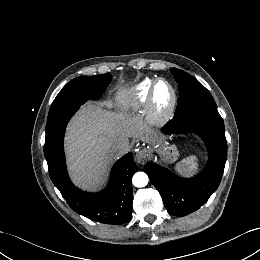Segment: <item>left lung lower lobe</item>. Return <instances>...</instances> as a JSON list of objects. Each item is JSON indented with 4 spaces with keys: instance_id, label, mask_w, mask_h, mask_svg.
I'll return each instance as SVG.
<instances>
[{
    "instance_id": "1",
    "label": "left lung lower lobe",
    "mask_w": 260,
    "mask_h": 260,
    "mask_svg": "<svg viewBox=\"0 0 260 260\" xmlns=\"http://www.w3.org/2000/svg\"><path fill=\"white\" fill-rule=\"evenodd\" d=\"M164 133H198L207 145L209 160L197 176L183 179L166 168L147 163L144 171L160 192L167 211L185 216L200 208L217 189L227 158V141L223 119L217 108H197L174 117L162 129Z\"/></svg>"
}]
</instances>
